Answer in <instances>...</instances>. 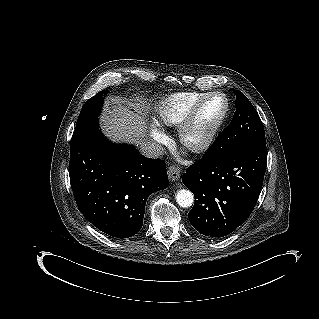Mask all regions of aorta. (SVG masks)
<instances>
[{"label":"aorta","instance_id":"762f6f07","mask_svg":"<svg viewBox=\"0 0 319 319\" xmlns=\"http://www.w3.org/2000/svg\"><path fill=\"white\" fill-rule=\"evenodd\" d=\"M176 201L179 206L183 208H188L193 204L194 196L191 191L181 189L176 194Z\"/></svg>","mask_w":319,"mask_h":319}]
</instances>
